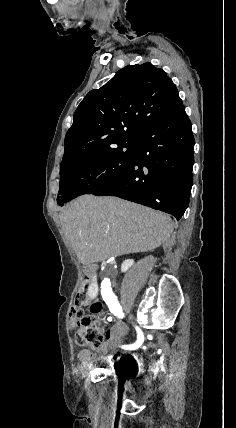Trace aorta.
I'll return each mask as SVG.
<instances>
[{"mask_svg": "<svg viewBox=\"0 0 236 428\" xmlns=\"http://www.w3.org/2000/svg\"><path fill=\"white\" fill-rule=\"evenodd\" d=\"M103 287H104L106 290H111V289H112V281H111V278L106 277V278L103 280Z\"/></svg>", "mask_w": 236, "mask_h": 428, "instance_id": "obj_1", "label": "aorta"}]
</instances>
